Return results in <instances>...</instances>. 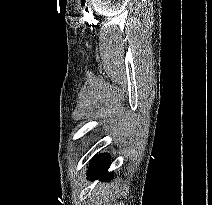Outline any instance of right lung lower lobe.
Wrapping results in <instances>:
<instances>
[{"label":"right lung lower lobe","mask_w":212,"mask_h":205,"mask_svg":"<svg viewBox=\"0 0 212 205\" xmlns=\"http://www.w3.org/2000/svg\"><path fill=\"white\" fill-rule=\"evenodd\" d=\"M110 158L105 155H99L90 162L88 169V179L95 180L101 178L102 181H110L113 178L112 173H108Z\"/></svg>","instance_id":"obj_1"}]
</instances>
